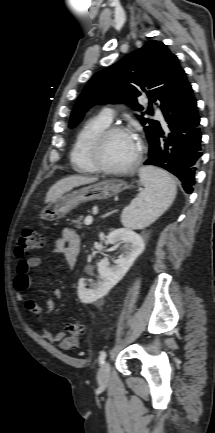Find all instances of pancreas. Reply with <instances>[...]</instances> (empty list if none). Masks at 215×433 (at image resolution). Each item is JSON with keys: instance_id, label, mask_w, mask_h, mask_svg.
Here are the masks:
<instances>
[{"instance_id": "obj_1", "label": "pancreas", "mask_w": 215, "mask_h": 433, "mask_svg": "<svg viewBox=\"0 0 215 433\" xmlns=\"http://www.w3.org/2000/svg\"><path fill=\"white\" fill-rule=\"evenodd\" d=\"M74 223H75V227H76L77 229H82V228H84V226H83V217H79V218H77L76 220H74Z\"/></svg>"}]
</instances>
